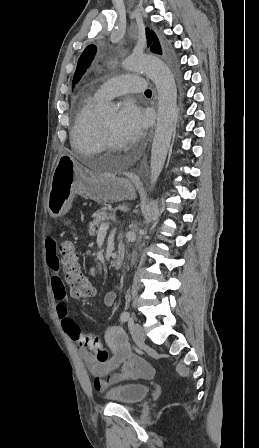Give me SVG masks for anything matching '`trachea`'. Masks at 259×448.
<instances>
[{
  "label": "trachea",
  "mask_w": 259,
  "mask_h": 448,
  "mask_svg": "<svg viewBox=\"0 0 259 448\" xmlns=\"http://www.w3.org/2000/svg\"><path fill=\"white\" fill-rule=\"evenodd\" d=\"M144 93H152L151 90H145Z\"/></svg>",
  "instance_id": "obj_1"
}]
</instances>
